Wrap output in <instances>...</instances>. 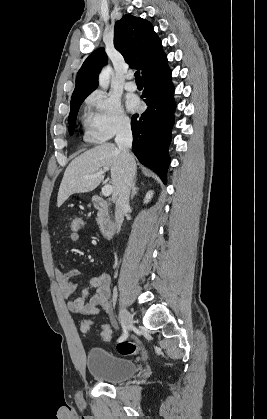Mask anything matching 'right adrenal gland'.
<instances>
[{
	"label": "right adrenal gland",
	"instance_id": "right-adrenal-gland-1",
	"mask_svg": "<svg viewBox=\"0 0 267 419\" xmlns=\"http://www.w3.org/2000/svg\"><path fill=\"white\" fill-rule=\"evenodd\" d=\"M138 191H139V188L136 187V180H134L132 184L131 199L134 198V196L137 194Z\"/></svg>",
	"mask_w": 267,
	"mask_h": 419
}]
</instances>
